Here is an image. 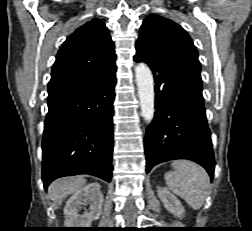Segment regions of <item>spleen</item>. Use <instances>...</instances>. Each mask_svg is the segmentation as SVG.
I'll use <instances>...</instances> for the list:
<instances>
[{
	"instance_id": "3e777b00",
	"label": "spleen",
	"mask_w": 252,
	"mask_h": 231,
	"mask_svg": "<svg viewBox=\"0 0 252 231\" xmlns=\"http://www.w3.org/2000/svg\"><path fill=\"white\" fill-rule=\"evenodd\" d=\"M171 166L174 171L165 174L168 188L184 199L194 210H199L205 201L210 179L198 164L188 160H176Z\"/></svg>"
}]
</instances>
